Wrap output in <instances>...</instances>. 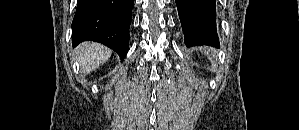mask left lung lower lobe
I'll return each instance as SVG.
<instances>
[{"mask_svg":"<svg viewBox=\"0 0 299 130\" xmlns=\"http://www.w3.org/2000/svg\"><path fill=\"white\" fill-rule=\"evenodd\" d=\"M188 47H219L216 31V0H175Z\"/></svg>","mask_w":299,"mask_h":130,"instance_id":"0a47b994","label":"left lung lower lobe"}]
</instances>
